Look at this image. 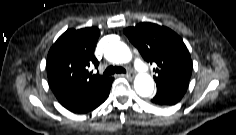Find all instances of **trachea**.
Returning a JSON list of instances; mask_svg holds the SVG:
<instances>
[{"mask_svg": "<svg viewBox=\"0 0 236 135\" xmlns=\"http://www.w3.org/2000/svg\"><path fill=\"white\" fill-rule=\"evenodd\" d=\"M115 73L121 74V73H126V70L123 67L120 66H109L106 68L104 71L105 76L113 75Z\"/></svg>", "mask_w": 236, "mask_h": 135, "instance_id": "1", "label": "trachea"}]
</instances>
